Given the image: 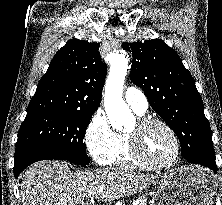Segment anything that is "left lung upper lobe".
<instances>
[{"label": "left lung upper lobe", "mask_w": 222, "mask_h": 205, "mask_svg": "<svg viewBox=\"0 0 222 205\" xmlns=\"http://www.w3.org/2000/svg\"><path fill=\"white\" fill-rule=\"evenodd\" d=\"M132 52L131 81L177 134L181 154L215 161L212 133L202 98L179 55L160 39L123 43Z\"/></svg>", "instance_id": "1"}]
</instances>
